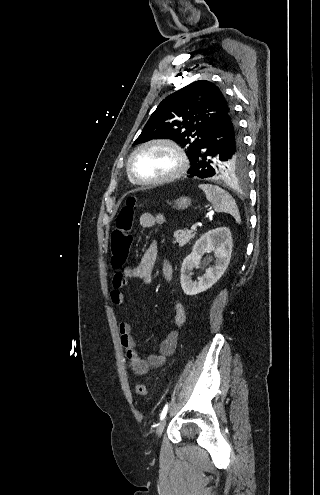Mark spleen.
<instances>
[{"label": "spleen", "instance_id": "3e777b00", "mask_svg": "<svg viewBox=\"0 0 320 495\" xmlns=\"http://www.w3.org/2000/svg\"><path fill=\"white\" fill-rule=\"evenodd\" d=\"M199 188L204 191L207 200L212 203L216 212L228 213L234 217L237 223L241 222L235 200L227 191L211 184H201Z\"/></svg>", "mask_w": 320, "mask_h": 495}]
</instances>
